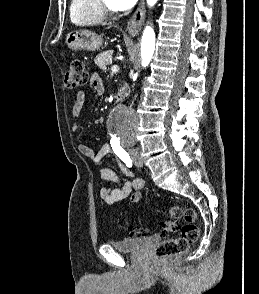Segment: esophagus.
Listing matches in <instances>:
<instances>
[{"instance_id":"esophagus-1","label":"esophagus","mask_w":259,"mask_h":294,"mask_svg":"<svg viewBox=\"0 0 259 294\" xmlns=\"http://www.w3.org/2000/svg\"><path fill=\"white\" fill-rule=\"evenodd\" d=\"M145 16V2L140 0L139 5L131 19L129 20L126 30L131 35H136L141 30Z\"/></svg>"}]
</instances>
